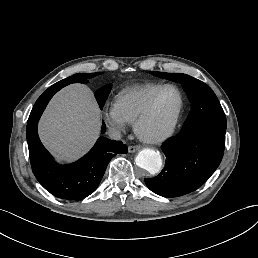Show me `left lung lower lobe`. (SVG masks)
<instances>
[{
	"label": "left lung lower lobe",
	"instance_id": "obj_1",
	"mask_svg": "<svg viewBox=\"0 0 258 258\" xmlns=\"http://www.w3.org/2000/svg\"><path fill=\"white\" fill-rule=\"evenodd\" d=\"M226 128L198 125L170 138L161 149L166 158L161 173L145 179L147 187L163 197H179L198 189L219 166Z\"/></svg>",
	"mask_w": 258,
	"mask_h": 258
}]
</instances>
